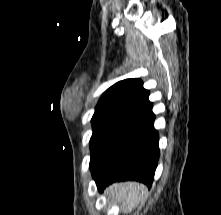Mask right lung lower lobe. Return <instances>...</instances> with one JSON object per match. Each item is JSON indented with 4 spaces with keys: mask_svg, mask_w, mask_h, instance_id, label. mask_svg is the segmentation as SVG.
Here are the masks:
<instances>
[{
    "mask_svg": "<svg viewBox=\"0 0 221 215\" xmlns=\"http://www.w3.org/2000/svg\"><path fill=\"white\" fill-rule=\"evenodd\" d=\"M152 104L138 110L106 144L90 167L98 190L112 182L135 180L152 185L159 159L158 132Z\"/></svg>",
    "mask_w": 221,
    "mask_h": 215,
    "instance_id": "98d812e1",
    "label": "right lung lower lobe"
}]
</instances>
